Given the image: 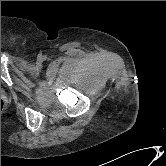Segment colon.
<instances>
[{
	"label": "colon",
	"mask_w": 166,
	"mask_h": 166,
	"mask_svg": "<svg viewBox=\"0 0 166 166\" xmlns=\"http://www.w3.org/2000/svg\"><path fill=\"white\" fill-rule=\"evenodd\" d=\"M4 109V101L1 99V112L3 111Z\"/></svg>",
	"instance_id": "5ec220e1"
}]
</instances>
